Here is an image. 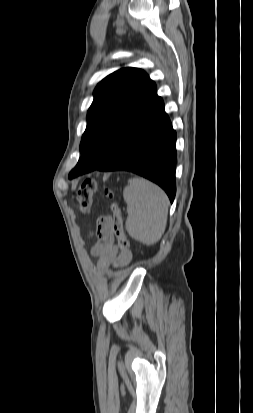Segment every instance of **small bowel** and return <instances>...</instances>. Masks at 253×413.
I'll use <instances>...</instances> for the list:
<instances>
[{"label":"small bowel","mask_w":253,"mask_h":413,"mask_svg":"<svg viewBox=\"0 0 253 413\" xmlns=\"http://www.w3.org/2000/svg\"><path fill=\"white\" fill-rule=\"evenodd\" d=\"M91 235L97 239L92 252L98 257L97 266L100 269H105L111 265L124 267L129 264L132 253L130 250H119L115 245L109 216H102L98 219L96 228Z\"/></svg>","instance_id":"obj_1"}]
</instances>
